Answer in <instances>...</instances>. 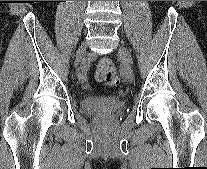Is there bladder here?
Instances as JSON below:
<instances>
[{
  "label": "bladder",
  "mask_w": 207,
  "mask_h": 169,
  "mask_svg": "<svg viewBox=\"0 0 207 169\" xmlns=\"http://www.w3.org/2000/svg\"><path fill=\"white\" fill-rule=\"evenodd\" d=\"M81 106L89 114H114L123 110L124 102L115 96L87 95L82 99Z\"/></svg>",
  "instance_id": "1"
}]
</instances>
